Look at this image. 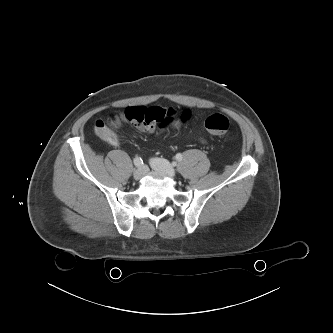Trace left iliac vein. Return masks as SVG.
<instances>
[{"instance_id": "1", "label": "left iliac vein", "mask_w": 333, "mask_h": 333, "mask_svg": "<svg viewBox=\"0 0 333 333\" xmlns=\"http://www.w3.org/2000/svg\"><path fill=\"white\" fill-rule=\"evenodd\" d=\"M150 165L154 170L162 172L169 177L173 178L175 176V169L165 159L153 158L150 161Z\"/></svg>"}]
</instances>
